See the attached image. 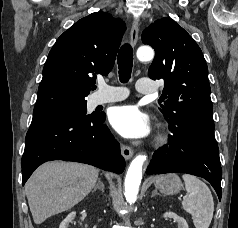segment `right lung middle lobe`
<instances>
[{"instance_id": "obj_1", "label": "right lung middle lobe", "mask_w": 238, "mask_h": 228, "mask_svg": "<svg viewBox=\"0 0 238 228\" xmlns=\"http://www.w3.org/2000/svg\"><path fill=\"white\" fill-rule=\"evenodd\" d=\"M86 101L85 102H81V103H76V104H70L67 106H64L63 108L57 110L56 112L52 113V114H59V113H74V114H78L79 116L86 118V119H90L93 116H96L97 114L92 113L90 115H87V107H86Z\"/></svg>"}]
</instances>
